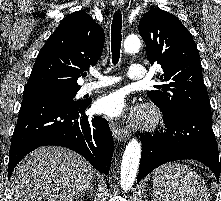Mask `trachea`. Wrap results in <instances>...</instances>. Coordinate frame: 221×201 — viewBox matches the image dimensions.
I'll return each mask as SVG.
<instances>
[{
    "label": "trachea",
    "instance_id": "obj_1",
    "mask_svg": "<svg viewBox=\"0 0 221 201\" xmlns=\"http://www.w3.org/2000/svg\"><path fill=\"white\" fill-rule=\"evenodd\" d=\"M122 41V14L116 12L113 15L111 25V52H112V63L116 65L120 59V49Z\"/></svg>",
    "mask_w": 221,
    "mask_h": 201
}]
</instances>
